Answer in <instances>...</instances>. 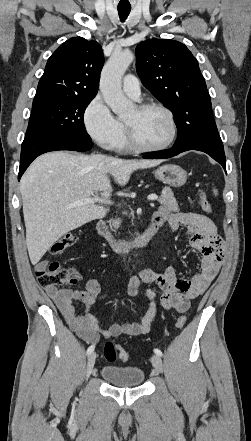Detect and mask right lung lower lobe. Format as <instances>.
<instances>
[{"instance_id":"1","label":"right lung lower lobe","mask_w":251,"mask_h":441,"mask_svg":"<svg viewBox=\"0 0 251 441\" xmlns=\"http://www.w3.org/2000/svg\"><path fill=\"white\" fill-rule=\"evenodd\" d=\"M92 146V141H73L39 129H27L21 147L18 180L30 163L43 153L57 150L88 151Z\"/></svg>"}]
</instances>
